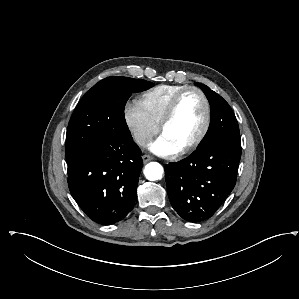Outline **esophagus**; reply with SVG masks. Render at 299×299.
Instances as JSON below:
<instances>
[{
    "instance_id": "esophagus-1",
    "label": "esophagus",
    "mask_w": 299,
    "mask_h": 299,
    "mask_svg": "<svg viewBox=\"0 0 299 299\" xmlns=\"http://www.w3.org/2000/svg\"><path fill=\"white\" fill-rule=\"evenodd\" d=\"M142 160H143L144 163H147V162L153 160V157L150 156V155L145 154V155L142 156Z\"/></svg>"
}]
</instances>
